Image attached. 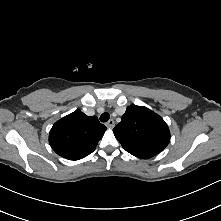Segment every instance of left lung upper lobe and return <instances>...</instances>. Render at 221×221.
Returning a JSON list of instances; mask_svg holds the SVG:
<instances>
[{"instance_id":"obj_1","label":"left lung upper lobe","mask_w":221,"mask_h":221,"mask_svg":"<svg viewBox=\"0 0 221 221\" xmlns=\"http://www.w3.org/2000/svg\"><path fill=\"white\" fill-rule=\"evenodd\" d=\"M113 132L127 152L142 159L157 155L170 141V132L165 121L143 106L127 107Z\"/></svg>"}]
</instances>
